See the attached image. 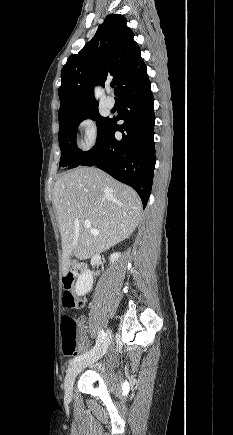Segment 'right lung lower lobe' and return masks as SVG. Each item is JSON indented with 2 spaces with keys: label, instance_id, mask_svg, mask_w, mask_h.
<instances>
[{
  "label": "right lung lower lobe",
  "instance_id": "1",
  "mask_svg": "<svg viewBox=\"0 0 233 435\" xmlns=\"http://www.w3.org/2000/svg\"><path fill=\"white\" fill-rule=\"evenodd\" d=\"M118 98L122 113L112 118L101 140L82 166H97L115 179L134 188L145 208L151 193L155 168L154 98L147 72L127 83ZM124 120L117 125L118 120ZM122 139L115 138V132Z\"/></svg>",
  "mask_w": 233,
  "mask_h": 435
}]
</instances>
